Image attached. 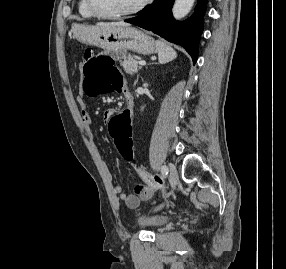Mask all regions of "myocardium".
<instances>
[{
  "label": "myocardium",
  "instance_id": "1",
  "mask_svg": "<svg viewBox=\"0 0 286 269\" xmlns=\"http://www.w3.org/2000/svg\"><path fill=\"white\" fill-rule=\"evenodd\" d=\"M86 1H87L88 9L95 17H98L101 19H122V18H127V17L133 16V15H136L142 12L145 8H147L152 3L153 0H143L133 9L125 11V12H121V13H116V14L102 13L96 8L94 4V0H86Z\"/></svg>",
  "mask_w": 286,
  "mask_h": 269
}]
</instances>
